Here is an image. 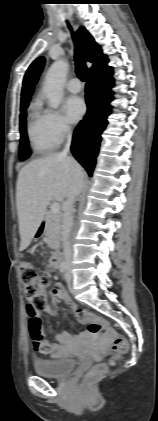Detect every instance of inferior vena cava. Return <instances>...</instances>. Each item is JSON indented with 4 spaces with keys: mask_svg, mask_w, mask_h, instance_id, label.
Here are the masks:
<instances>
[{
    "mask_svg": "<svg viewBox=\"0 0 158 421\" xmlns=\"http://www.w3.org/2000/svg\"><path fill=\"white\" fill-rule=\"evenodd\" d=\"M67 142L63 151L60 153L61 156H66L70 152L72 133L69 127L66 128ZM84 187V173L79 166L73 171V181L67 193V200L65 202L64 214H63V225H62V240L64 248V259L65 263L69 265L72 259V250L70 247L69 237L73 226V205L76 197L81 193Z\"/></svg>",
    "mask_w": 158,
    "mask_h": 421,
    "instance_id": "602c4592",
    "label": "inferior vena cava"
}]
</instances>
